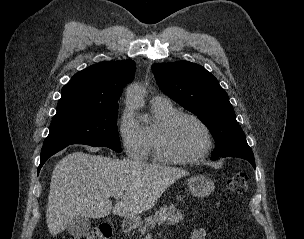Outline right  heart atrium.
<instances>
[{"instance_id":"obj_1","label":"right heart atrium","mask_w":304,"mask_h":239,"mask_svg":"<svg viewBox=\"0 0 304 239\" xmlns=\"http://www.w3.org/2000/svg\"><path fill=\"white\" fill-rule=\"evenodd\" d=\"M118 133L123 148L130 158L143 160L147 156L148 146L144 129L129 107L124 108L120 115Z\"/></svg>"}]
</instances>
